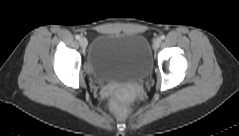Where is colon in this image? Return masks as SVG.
<instances>
[{"instance_id": "obj_1", "label": "colon", "mask_w": 239, "mask_h": 136, "mask_svg": "<svg viewBox=\"0 0 239 136\" xmlns=\"http://www.w3.org/2000/svg\"><path fill=\"white\" fill-rule=\"evenodd\" d=\"M122 90L123 89H121V88L114 89V91H113V98H114V100L119 101L120 95L122 93Z\"/></svg>"}]
</instances>
